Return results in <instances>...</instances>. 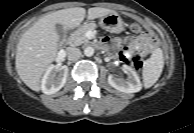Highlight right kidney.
<instances>
[{"label":"right kidney","mask_w":194,"mask_h":133,"mask_svg":"<svg viewBox=\"0 0 194 133\" xmlns=\"http://www.w3.org/2000/svg\"><path fill=\"white\" fill-rule=\"evenodd\" d=\"M68 75V67L64 66H50L41 82V90L47 95L58 92L66 83Z\"/></svg>","instance_id":"ca27d5eb"}]
</instances>
